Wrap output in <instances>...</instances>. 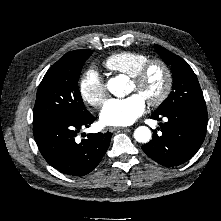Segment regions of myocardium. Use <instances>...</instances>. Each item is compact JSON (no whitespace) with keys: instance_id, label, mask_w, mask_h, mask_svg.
<instances>
[{"instance_id":"myocardium-1","label":"myocardium","mask_w":221,"mask_h":221,"mask_svg":"<svg viewBox=\"0 0 221 221\" xmlns=\"http://www.w3.org/2000/svg\"><path fill=\"white\" fill-rule=\"evenodd\" d=\"M154 67H159L162 70L164 74V86L158 96L149 98L146 101L150 106H159L169 97L173 87V73L170 66L165 61L161 59L147 61L132 76V82L140 88Z\"/></svg>"}]
</instances>
